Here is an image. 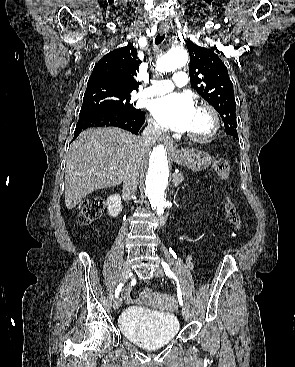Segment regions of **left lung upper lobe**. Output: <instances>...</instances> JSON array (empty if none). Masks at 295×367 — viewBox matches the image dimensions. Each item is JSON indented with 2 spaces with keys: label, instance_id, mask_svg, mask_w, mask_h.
Listing matches in <instances>:
<instances>
[{
  "label": "left lung upper lobe",
  "instance_id": "left-lung-upper-lobe-1",
  "mask_svg": "<svg viewBox=\"0 0 295 367\" xmlns=\"http://www.w3.org/2000/svg\"><path fill=\"white\" fill-rule=\"evenodd\" d=\"M186 46L190 54L189 75L197 93L220 114L227 134H237L236 102L227 67L213 51L195 45Z\"/></svg>",
  "mask_w": 295,
  "mask_h": 367
}]
</instances>
